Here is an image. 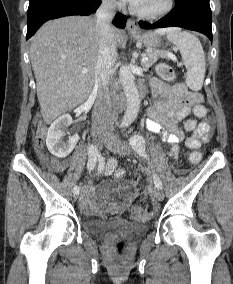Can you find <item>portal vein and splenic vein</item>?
<instances>
[{"label": "portal vein and splenic vein", "mask_w": 233, "mask_h": 284, "mask_svg": "<svg viewBox=\"0 0 233 284\" xmlns=\"http://www.w3.org/2000/svg\"><path fill=\"white\" fill-rule=\"evenodd\" d=\"M168 56L173 58L172 55H168ZM141 61H142V63H146L148 61V58L146 56H144ZM86 72H87V70L85 68L82 69V73H86Z\"/></svg>", "instance_id": "18ae733b"}]
</instances>
